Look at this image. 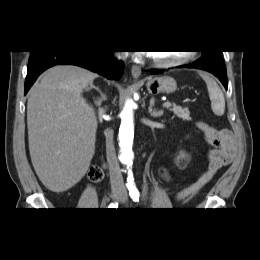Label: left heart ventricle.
<instances>
[{
	"label": "left heart ventricle",
	"instance_id": "1",
	"mask_svg": "<svg viewBox=\"0 0 260 260\" xmlns=\"http://www.w3.org/2000/svg\"><path fill=\"white\" fill-rule=\"evenodd\" d=\"M181 55H182L181 52H166V51L155 52L152 54V56L162 61L175 59Z\"/></svg>",
	"mask_w": 260,
	"mask_h": 260
}]
</instances>
